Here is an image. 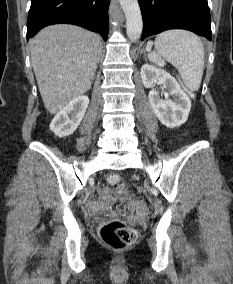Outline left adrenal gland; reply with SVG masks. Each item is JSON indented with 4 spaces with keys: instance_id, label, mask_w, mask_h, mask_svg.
Here are the masks:
<instances>
[{
    "instance_id": "left-adrenal-gland-1",
    "label": "left adrenal gland",
    "mask_w": 233,
    "mask_h": 284,
    "mask_svg": "<svg viewBox=\"0 0 233 284\" xmlns=\"http://www.w3.org/2000/svg\"><path fill=\"white\" fill-rule=\"evenodd\" d=\"M141 53H143L144 56L146 57V53H145V50H144V49L141 50Z\"/></svg>"
}]
</instances>
